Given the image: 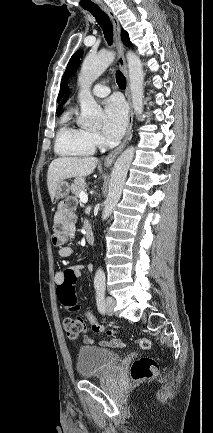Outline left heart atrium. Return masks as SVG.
Masks as SVG:
<instances>
[{
    "instance_id": "obj_1",
    "label": "left heart atrium",
    "mask_w": 213,
    "mask_h": 433,
    "mask_svg": "<svg viewBox=\"0 0 213 433\" xmlns=\"http://www.w3.org/2000/svg\"><path fill=\"white\" fill-rule=\"evenodd\" d=\"M127 125V108L118 97L108 99L103 111V132L111 140L119 139Z\"/></svg>"
}]
</instances>
